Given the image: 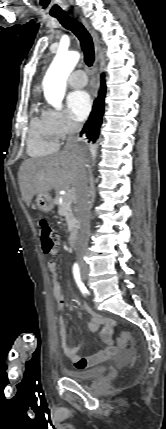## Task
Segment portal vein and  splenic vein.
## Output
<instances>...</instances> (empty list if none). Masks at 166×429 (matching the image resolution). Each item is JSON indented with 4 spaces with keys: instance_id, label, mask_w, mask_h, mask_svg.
<instances>
[{
    "instance_id": "portal-vein-and-splenic-vein-1",
    "label": "portal vein and splenic vein",
    "mask_w": 166,
    "mask_h": 429,
    "mask_svg": "<svg viewBox=\"0 0 166 429\" xmlns=\"http://www.w3.org/2000/svg\"><path fill=\"white\" fill-rule=\"evenodd\" d=\"M65 196L69 199H72L74 197L73 193L71 190H67V193L65 194Z\"/></svg>"
}]
</instances>
